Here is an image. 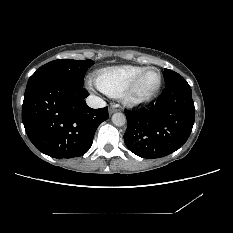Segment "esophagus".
I'll list each match as a JSON object with an SVG mask.
<instances>
[{
	"label": "esophagus",
	"mask_w": 233,
	"mask_h": 233,
	"mask_svg": "<svg viewBox=\"0 0 233 233\" xmlns=\"http://www.w3.org/2000/svg\"><path fill=\"white\" fill-rule=\"evenodd\" d=\"M118 109L117 108H115L114 106H111L110 108H109V114L111 115V114H113L114 112H116Z\"/></svg>",
	"instance_id": "1"
}]
</instances>
